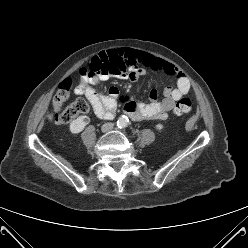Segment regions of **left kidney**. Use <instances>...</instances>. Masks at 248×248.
<instances>
[{
	"mask_svg": "<svg viewBox=\"0 0 248 248\" xmlns=\"http://www.w3.org/2000/svg\"><path fill=\"white\" fill-rule=\"evenodd\" d=\"M155 128L158 130V131H162L164 129V125L161 124V123H158L155 125Z\"/></svg>",
	"mask_w": 248,
	"mask_h": 248,
	"instance_id": "5707ae66",
	"label": "left kidney"
}]
</instances>
